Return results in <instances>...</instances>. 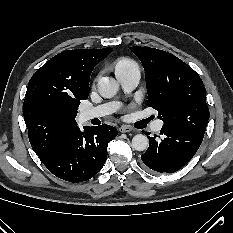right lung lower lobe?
Here are the masks:
<instances>
[{"label":"right lung lower lobe","mask_w":233,"mask_h":233,"mask_svg":"<svg viewBox=\"0 0 233 233\" xmlns=\"http://www.w3.org/2000/svg\"><path fill=\"white\" fill-rule=\"evenodd\" d=\"M117 136V129L106 124L79 127L59 137L52 147L39 155L46 168L58 178L82 182L95 176L107 159L108 143Z\"/></svg>","instance_id":"98d812e1"}]
</instances>
